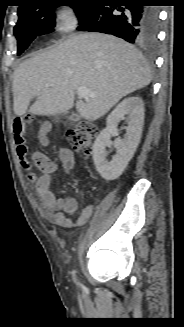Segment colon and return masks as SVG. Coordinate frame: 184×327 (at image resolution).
I'll return each mask as SVG.
<instances>
[{
  "label": "colon",
  "instance_id": "colon-1",
  "mask_svg": "<svg viewBox=\"0 0 184 327\" xmlns=\"http://www.w3.org/2000/svg\"><path fill=\"white\" fill-rule=\"evenodd\" d=\"M33 116L16 118L13 122V136L17 148V154L24 157L27 153L25 133L27 125L34 121ZM97 136V127L89 121H79L64 131L65 140L73 148L82 151L86 155L92 151L93 142Z\"/></svg>",
  "mask_w": 184,
  "mask_h": 327
}]
</instances>
